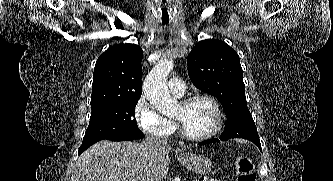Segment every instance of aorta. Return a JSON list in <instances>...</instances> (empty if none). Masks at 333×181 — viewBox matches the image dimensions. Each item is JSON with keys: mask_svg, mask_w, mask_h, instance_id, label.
Instances as JSON below:
<instances>
[{"mask_svg": "<svg viewBox=\"0 0 333 181\" xmlns=\"http://www.w3.org/2000/svg\"><path fill=\"white\" fill-rule=\"evenodd\" d=\"M173 66V61L161 60L148 73L143 83L146 98L163 114H169L178 105V101L171 97L166 83Z\"/></svg>", "mask_w": 333, "mask_h": 181, "instance_id": "762f6f07", "label": "aorta"}]
</instances>
